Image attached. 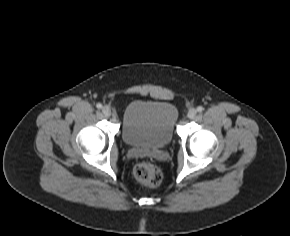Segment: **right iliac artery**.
Returning a JSON list of instances; mask_svg holds the SVG:
<instances>
[{"label": "right iliac artery", "instance_id": "right-iliac-artery-1", "mask_svg": "<svg viewBox=\"0 0 290 236\" xmlns=\"http://www.w3.org/2000/svg\"><path fill=\"white\" fill-rule=\"evenodd\" d=\"M96 107H97L98 109H101V108H102V104L98 103V104L96 105Z\"/></svg>", "mask_w": 290, "mask_h": 236}]
</instances>
